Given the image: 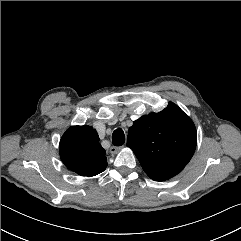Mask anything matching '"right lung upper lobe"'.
Wrapping results in <instances>:
<instances>
[{
    "label": "right lung upper lobe",
    "mask_w": 241,
    "mask_h": 241,
    "mask_svg": "<svg viewBox=\"0 0 241 241\" xmlns=\"http://www.w3.org/2000/svg\"><path fill=\"white\" fill-rule=\"evenodd\" d=\"M60 157L68 169L83 176H95L106 169L105 150L90 126H72L60 140Z\"/></svg>",
    "instance_id": "obj_1"
}]
</instances>
